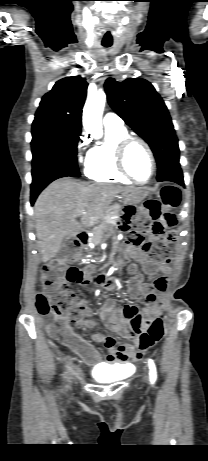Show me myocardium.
I'll list each match as a JSON object with an SVG mask.
<instances>
[{"label": "myocardium", "mask_w": 208, "mask_h": 461, "mask_svg": "<svg viewBox=\"0 0 208 461\" xmlns=\"http://www.w3.org/2000/svg\"><path fill=\"white\" fill-rule=\"evenodd\" d=\"M134 143H138L145 148V150L147 151L149 155L150 161H151V173L148 179L145 181L138 180L136 177H134L127 167V161H126L127 153H128L129 148ZM115 157H116V165H117L118 170L124 176L134 181L135 183L146 184L152 180V178L154 177L156 173L157 165H156V159H155L154 153L150 145L144 139L140 137L128 135L122 140H120L115 149Z\"/></svg>", "instance_id": "f54148a6"}]
</instances>
